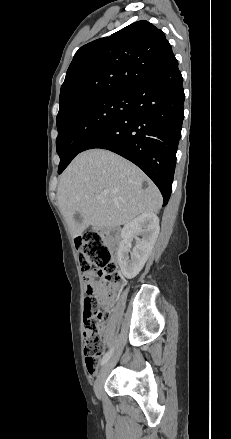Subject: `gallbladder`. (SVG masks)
<instances>
[{"mask_svg":"<svg viewBox=\"0 0 231 439\" xmlns=\"http://www.w3.org/2000/svg\"><path fill=\"white\" fill-rule=\"evenodd\" d=\"M75 219H76V221H77L78 223H80V222L82 221V217H81V215H80L79 213H77V214L75 215Z\"/></svg>","mask_w":231,"mask_h":439,"instance_id":"bac80fb5","label":"gallbladder"}]
</instances>
